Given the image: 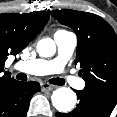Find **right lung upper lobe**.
I'll return each instance as SVG.
<instances>
[{"mask_svg": "<svg viewBox=\"0 0 117 117\" xmlns=\"http://www.w3.org/2000/svg\"><path fill=\"white\" fill-rule=\"evenodd\" d=\"M48 20L49 13L46 11L0 14V89L15 81L10 73L4 70L7 57L23 50Z\"/></svg>", "mask_w": 117, "mask_h": 117, "instance_id": "cb5924a9", "label": "right lung upper lobe"}]
</instances>
